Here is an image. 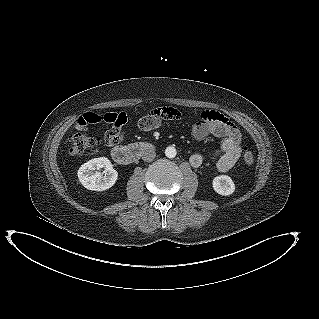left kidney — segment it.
I'll return each instance as SVG.
<instances>
[{"mask_svg":"<svg viewBox=\"0 0 319 319\" xmlns=\"http://www.w3.org/2000/svg\"><path fill=\"white\" fill-rule=\"evenodd\" d=\"M213 189L220 195H231L235 191L233 180L227 175H219L213 179Z\"/></svg>","mask_w":319,"mask_h":319,"instance_id":"5707ae66","label":"left kidney"}]
</instances>
